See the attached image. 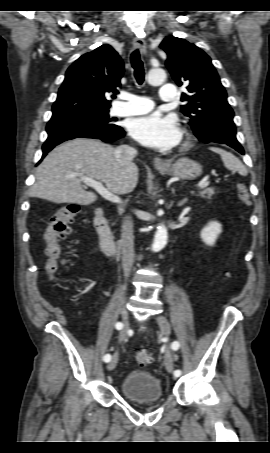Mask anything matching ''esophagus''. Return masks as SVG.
I'll list each match as a JSON object with an SVG mask.
<instances>
[{
    "mask_svg": "<svg viewBox=\"0 0 270 453\" xmlns=\"http://www.w3.org/2000/svg\"><path fill=\"white\" fill-rule=\"evenodd\" d=\"M133 46L140 49L142 52L146 51V42L143 39L135 38L133 40ZM154 166L156 168H164L168 166V163L161 159L160 157L154 158Z\"/></svg>",
    "mask_w": 270,
    "mask_h": 453,
    "instance_id": "1",
    "label": "esophagus"
}]
</instances>
